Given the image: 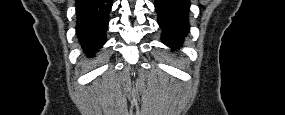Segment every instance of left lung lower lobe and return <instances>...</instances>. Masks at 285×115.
Masks as SVG:
<instances>
[{
	"mask_svg": "<svg viewBox=\"0 0 285 115\" xmlns=\"http://www.w3.org/2000/svg\"><path fill=\"white\" fill-rule=\"evenodd\" d=\"M190 1L156 0L155 10L162 29V42L176 49L182 45L189 32Z\"/></svg>",
	"mask_w": 285,
	"mask_h": 115,
	"instance_id": "0a47b994",
	"label": "left lung lower lobe"
}]
</instances>
